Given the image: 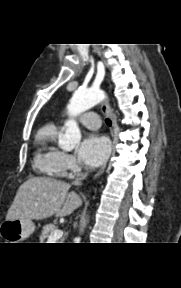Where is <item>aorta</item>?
Instances as JSON below:
<instances>
[{
  "mask_svg": "<svg viewBox=\"0 0 181 288\" xmlns=\"http://www.w3.org/2000/svg\"><path fill=\"white\" fill-rule=\"evenodd\" d=\"M104 99V93L100 89H78L74 92L70 103L67 106L68 114L72 117L90 109ZM66 131L59 140V145L64 150H71L81 140V132L75 120L70 119L65 123ZM80 241V237L76 238Z\"/></svg>",
  "mask_w": 181,
  "mask_h": 288,
  "instance_id": "1",
  "label": "aorta"
}]
</instances>
